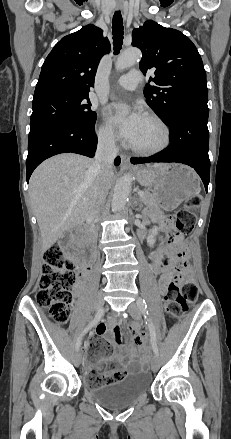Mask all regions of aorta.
<instances>
[{
	"mask_svg": "<svg viewBox=\"0 0 231 439\" xmlns=\"http://www.w3.org/2000/svg\"><path fill=\"white\" fill-rule=\"evenodd\" d=\"M141 58V52L137 48H130L125 50L117 59L115 68L117 71H123L133 66ZM132 185V179L129 174H124L120 177L115 185L112 210L121 211L125 208Z\"/></svg>",
	"mask_w": 231,
	"mask_h": 439,
	"instance_id": "1",
	"label": "aorta"
}]
</instances>
